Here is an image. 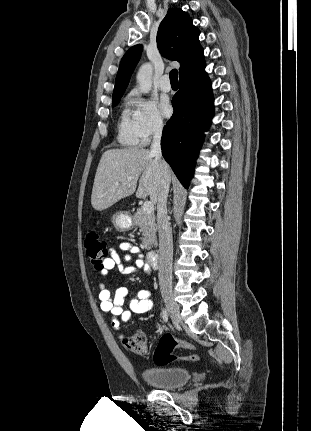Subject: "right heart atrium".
<instances>
[{
  "mask_svg": "<svg viewBox=\"0 0 311 431\" xmlns=\"http://www.w3.org/2000/svg\"><path fill=\"white\" fill-rule=\"evenodd\" d=\"M126 100L133 107L132 111L141 129L143 145L162 135L166 122L153 101L141 98L135 91L129 93Z\"/></svg>",
  "mask_w": 311,
  "mask_h": 431,
  "instance_id": "right-heart-atrium-1",
  "label": "right heart atrium"
}]
</instances>
